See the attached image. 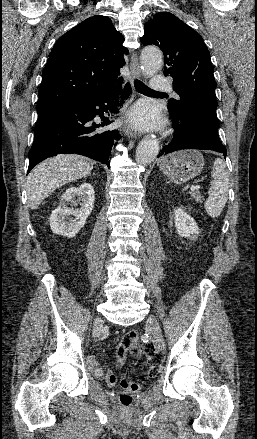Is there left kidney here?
I'll return each mask as SVG.
<instances>
[{
	"label": "left kidney",
	"mask_w": 257,
	"mask_h": 439,
	"mask_svg": "<svg viewBox=\"0 0 257 439\" xmlns=\"http://www.w3.org/2000/svg\"><path fill=\"white\" fill-rule=\"evenodd\" d=\"M174 222L179 237H186L191 240H196L198 238L200 231L196 222L182 209H175Z\"/></svg>",
	"instance_id": "5707ae66"
}]
</instances>
